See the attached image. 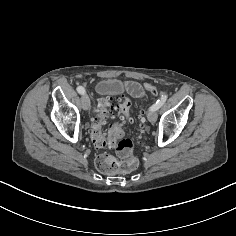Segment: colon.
<instances>
[{
	"instance_id": "5ec220e1",
	"label": "colon",
	"mask_w": 236,
	"mask_h": 236,
	"mask_svg": "<svg viewBox=\"0 0 236 236\" xmlns=\"http://www.w3.org/2000/svg\"><path fill=\"white\" fill-rule=\"evenodd\" d=\"M136 84V83H134ZM132 87L131 90H146L152 94L160 93V89L150 83L142 86ZM131 102L124 96L102 97L97 102L96 114L92 120L91 140L98 148H113L122 161H117L112 155L102 153L96 158L97 168L106 174L129 173L138 167V160L134 156L135 144L131 138L126 137V132L122 124L114 123L111 125L107 134L103 132V126L108 119L118 113L127 122H132L130 114ZM140 120L145 122L144 112L140 114Z\"/></svg>"
}]
</instances>
